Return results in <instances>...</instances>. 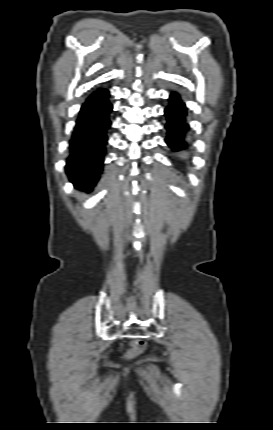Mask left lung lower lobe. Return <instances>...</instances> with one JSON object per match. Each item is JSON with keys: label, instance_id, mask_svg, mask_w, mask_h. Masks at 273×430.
Masks as SVG:
<instances>
[{"label": "left lung lower lobe", "instance_id": "left-lung-lower-lobe-1", "mask_svg": "<svg viewBox=\"0 0 273 430\" xmlns=\"http://www.w3.org/2000/svg\"><path fill=\"white\" fill-rule=\"evenodd\" d=\"M169 100L170 105L165 109L168 120L165 126L168 130L166 143L173 152L181 154L189 147L187 135L189 126L185 123L186 108L177 93H171Z\"/></svg>", "mask_w": 273, "mask_h": 430}]
</instances>
